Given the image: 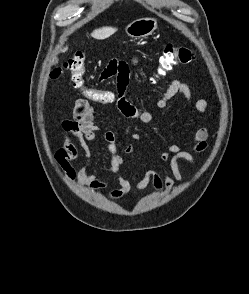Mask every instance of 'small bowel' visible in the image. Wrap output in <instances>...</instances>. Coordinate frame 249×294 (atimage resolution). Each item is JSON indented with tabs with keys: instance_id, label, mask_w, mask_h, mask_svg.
<instances>
[{
	"instance_id": "obj_1",
	"label": "small bowel",
	"mask_w": 249,
	"mask_h": 294,
	"mask_svg": "<svg viewBox=\"0 0 249 294\" xmlns=\"http://www.w3.org/2000/svg\"><path fill=\"white\" fill-rule=\"evenodd\" d=\"M129 75L130 70L128 66L123 74L116 76L117 97L115 105L124 117L138 119L143 123H148L153 119V111L148 108H137L125 96V91L129 83ZM111 77L102 72L99 81L103 82ZM176 95H181L189 105H193L199 115L203 114L208 107V103L204 99H199L194 102L190 88L178 79L171 81L164 94L158 98L156 107L159 109L166 108L168 102ZM195 124L196 128L193 132L191 148L196 153H204L207 150V141L210 134L208 129L199 127V119L196 120ZM63 127L67 133L74 134L78 137L79 145L86 158L83 167L76 170L72 161L78 158L79 149L71 137L65 135L62 146L55 152V159L66 172L67 178L77 182L90 191L97 192L107 187L110 182V177H113L119 183L120 188L110 192L109 197L111 199H117L132 189L143 190L150 185L157 192L171 191L175 183H181L184 180L179 162L195 163V157L191 152L183 150L178 143H170L158 155V161L163 168V173L153 169L142 173L124 170L122 166L125 157L120 153L116 145V134L109 130L104 134L110 155L109 176H101L95 171L90 170V159L92 156L91 145L96 139L98 127L95 124L93 107L87 99H76L74 119L66 120ZM131 137L135 140L140 139V135L137 133L132 134ZM133 150L134 148L131 145L123 148L124 153H131Z\"/></svg>"
}]
</instances>
